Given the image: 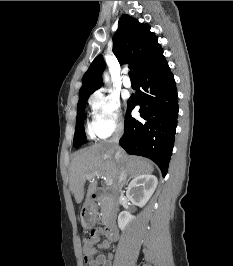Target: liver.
<instances>
[{
    "label": "liver",
    "instance_id": "liver-1",
    "mask_svg": "<svg viewBox=\"0 0 233 266\" xmlns=\"http://www.w3.org/2000/svg\"><path fill=\"white\" fill-rule=\"evenodd\" d=\"M116 149L110 142L95 143L89 148L75 154L70 166L69 188L77 203H80L85 194L84 185L89 181L87 198L96 190L95 177L88 179L91 174L98 173L101 176L111 178L113 187L119 182L121 170H126L127 175L136 177L151 173L154 168L147 159L132 157L121 150V158H115Z\"/></svg>",
    "mask_w": 233,
    "mask_h": 266
}]
</instances>
